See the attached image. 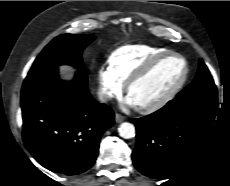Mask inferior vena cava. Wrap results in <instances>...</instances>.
Here are the masks:
<instances>
[{
    "label": "inferior vena cava",
    "mask_w": 230,
    "mask_h": 186,
    "mask_svg": "<svg viewBox=\"0 0 230 186\" xmlns=\"http://www.w3.org/2000/svg\"><path fill=\"white\" fill-rule=\"evenodd\" d=\"M112 97L113 95L107 90H100L98 92V98L101 102H106L110 100Z\"/></svg>",
    "instance_id": "602c4592"
}]
</instances>
